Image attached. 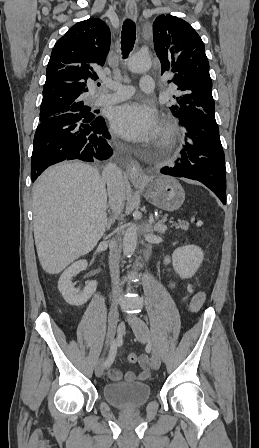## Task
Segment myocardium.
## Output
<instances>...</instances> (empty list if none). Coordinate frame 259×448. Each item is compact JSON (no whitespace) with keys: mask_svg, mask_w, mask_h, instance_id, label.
I'll list each match as a JSON object with an SVG mask.
<instances>
[{"mask_svg":"<svg viewBox=\"0 0 259 448\" xmlns=\"http://www.w3.org/2000/svg\"><path fill=\"white\" fill-rule=\"evenodd\" d=\"M175 136V124L168 121L161 129L158 143L160 145L170 144Z\"/></svg>","mask_w":259,"mask_h":448,"instance_id":"f54148a6","label":"myocardium"}]
</instances>
